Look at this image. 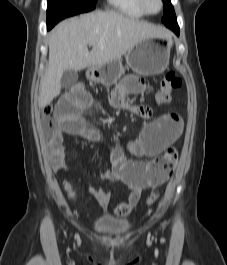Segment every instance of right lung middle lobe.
<instances>
[{"mask_svg": "<svg viewBox=\"0 0 227 265\" xmlns=\"http://www.w3.org/2000/svg\"><path fill=\"white\" fill-rule=\"evenodd\" d=\"M97 0H48L47 28H52L60 20L95 8Z\"/></svg>", "mask_w": 227, "mask_h": 265, "instance_id": "obj_1", "label": "right lung middle lobe"}]
</instances>
